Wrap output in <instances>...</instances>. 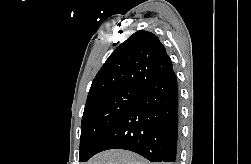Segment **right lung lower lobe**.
<instances>
[{
	"label": "right lung lower lobe",
	"instance_id": "right-lung-lower-lobe-1",
	"mask_svg": "<svg viewBox=\"0 0 251 164\" xmlns=\"http://www.w3.org/2000/svg\"><path fill=\"white\" fill-rule=\"evenodd\" d=\"M178 136V85L171 68L139 88L136 101L101 137L88 159L104 150L125 149L151 162H175Z\"/></svg>",
	"mask_w": 251,
	"mask_h": 164
}]
</instances>
